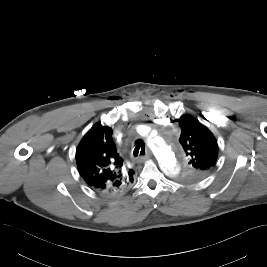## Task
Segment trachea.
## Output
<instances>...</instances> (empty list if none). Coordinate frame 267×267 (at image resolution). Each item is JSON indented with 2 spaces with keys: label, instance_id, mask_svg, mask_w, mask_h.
<instances>
[{
  "label": "trachea",
  "instance_id": "3493384b",
  "mask_svg": "<svg viewBox=\"0 0 267 267\" xmlns=\"http://www.w3.org/2000/svg\"><path fill=\"white\" fill-rule=\"evenodd\" d=\"M145 155V144L141 139H138L135 141V148L133 151V156L138 157V156H143Z\"/></svg>",
  "mask_w": 267,
  "mask_h": 267
}]
</instances>
